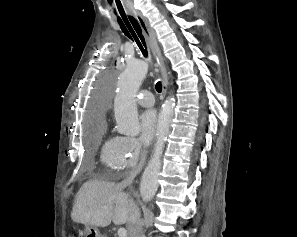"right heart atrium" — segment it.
<instances>
[{
  "mask_svg": "<svg viewBox=\"0 0 297 237\" xmlns=\"http://www.w3.org/2000/svg\"><path fill=\"white\" fill-rule=\"evenodd\" d=\"M145 148L140 141L133 137H120L119 163L121 169L136 168L142 161Z\"/></svg>",
  "mask_w": 297,
  "mask_h": 237,
  "instance_id": "d8ad5b80",
  "label": "right heart atrium"
}]
</instances>
